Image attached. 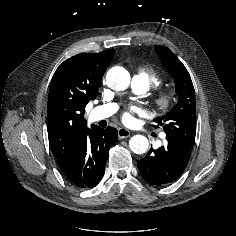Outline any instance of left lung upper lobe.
I'll use <instances>...</instances> for the list:
<instances>
[{
    "label": "left lung upper lobe",
    "mask_w": 236,
    "mask_h": 236,
    "mask_svg": "<svg viewBox=\"0 0 236 236\" xmlns=\"http://www.w3.org/2000/svg\"><path fill=\"white\" fill-rule=\"evenodd\" d=\"M155 50L164 67L174 78L179 101L170 112L155 118L154 122L163 127L167 141L191 151L196 134V103L191 77L171 50L163 46H155Z\"/></svg>",
    "instance_id": "obj_1"
}]
</instances>
